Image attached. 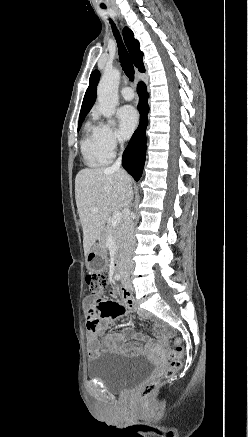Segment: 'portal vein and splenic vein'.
<instances>
[{"instance_id":"obj_1","label":"portal vein and splenic vein","mask_w":248,"mask_h":437,"mask_svg":"<svg viewBox=\"0 0 248 437\" xmlns=\"http://www.w3.org/2000/svg\"><path fill=\"white\" fill-rule=\"evenodd\" d=\"M93 211H98V208H93ZM122 218V214L120 211H115L112 216L111 224L115 226L120 223Z\"/></svg>"}]
</instances>
